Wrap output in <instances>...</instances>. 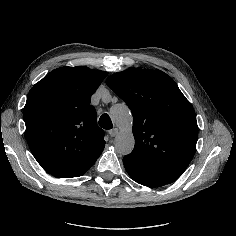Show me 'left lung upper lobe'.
Listing matches in <instances>:
<instances>
[{
  "mask_svg": "<svg viewBox=\"0 0 236 236\" xmlns=\"http://www.w3.org/2000/svg\"><path fill=\"white\" fill-rule=\"evenodd\" d=\"M106 84L133 114L135 147L123 159L174 182L196 151V114L175 81L160 70L132 68L109 76Z\"/></svg>",
  "mask_w": 236,
  "mask_h": 236,
  "instance_id": "1",
  "label": "left lung upper lobe"
}]
</instances>
